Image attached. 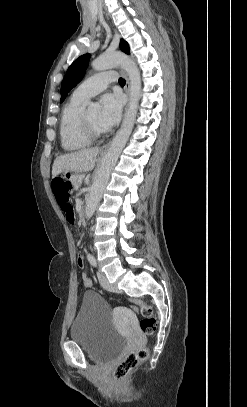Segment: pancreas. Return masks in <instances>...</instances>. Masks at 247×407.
<instances>
[{"label": "pancreas", "mask_w": 247, "mask_h": 407, "mask_svg": "<svg viewBox=\"0 0 247 407\" xmlns=\"http://www.w3.org/2000/svg\"><path fill=\"white\" fill-rule=\"evenodd\" d=\"M84 177V175L82 174H78L76 175L73 180H72V184L74 186V188H77L81 182V179Z\"/></svg>", "instance_id": "pancreas-1"}]
</instances>
